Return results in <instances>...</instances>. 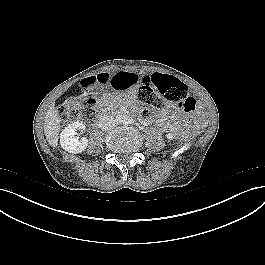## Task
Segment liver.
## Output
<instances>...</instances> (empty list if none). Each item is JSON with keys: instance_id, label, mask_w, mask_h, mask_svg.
<instances>
[{"instance_id": "1", "label": "liver", "mask_w": 265, "mask_h": 265, "mask_svg": "<svg viewBox=\"0 0 265 265\" xmlns=\"http://www.w3.org/2000/svg\"><path fill=\"white\" fill-rule=\"evenodd\" d=\"M60 117L54 106L47 111L44 121V134L49 144L56 147L59 139Z\"/></svg>"}]
</instances>
